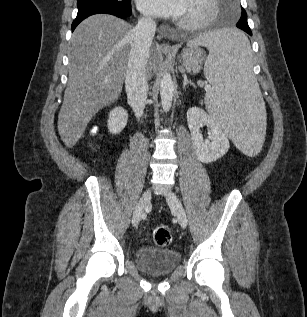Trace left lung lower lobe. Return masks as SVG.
<instances>
[{"label":"left lung lower lobe","mask_w":307,"mask_h":317,"mask_svg":"<svg viewBox=\"0 0 307 317\" xmlns=\"http://www.w3.org/2000/svg\"><path fill=\"white\" fill-rule=\"evenodd\" d=\"M241 14H242V12H241ZM243 23H244V24H241V26L238 27V28L242 29L243 31H245L246 33H248L250 36H252V32H251V30H250V28H249V26H248V23H247V22H243ZM231 44H232L235 48H238V49H240V50L243 49V41L240 40V39L233 38V39L231 40Z\"/></svg>","instance_id":"left-lung-lower-lobe-1"}]
</instances>
